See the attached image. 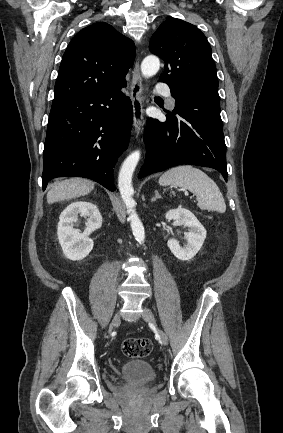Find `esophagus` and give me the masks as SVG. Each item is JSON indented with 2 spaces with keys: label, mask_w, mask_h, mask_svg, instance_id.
Masks as SVG:
<instances>
[{
  "label": "esophagus",
  "mask_w": 283,
  "mask_h": 433,
  "mask_svg": "<svg viewBox=\"0 0 283 433\" xmlns=\"http://www.w3.org/2000/svg\"><path fill=\"white\" fill-rule=\"evenodd\" d=\"M131 101L133 105V125L136 132L141 130L144 119L143 110V84L140 74L139 61L137 60L134 66L132 81H131Z\"/></svg>",
  "instance_id": "obj_1"
}]
</instances>
